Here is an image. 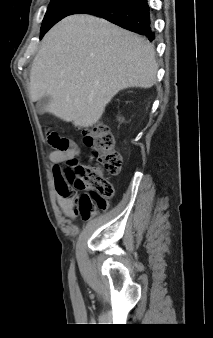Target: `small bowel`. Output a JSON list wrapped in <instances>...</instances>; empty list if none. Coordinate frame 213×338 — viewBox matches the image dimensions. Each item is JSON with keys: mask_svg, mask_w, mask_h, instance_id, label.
<instances>
[{"mask_svg": "<svg viewBox=\"0 0 213 338\" xmlns=\"http://www.w3.org/2000/svg\"><path fill=\"white\" fill-rule=\"evenodd\" d=\"M47 141L52 148L49 157L53 162L71 159L78 155V148L73 142L69 143V147L65 151L59 150L57 146L60 144L61 138L51 129L47 130ZM57 203L67 216L72 217L77 212L81 213V210L91 204V201L85 196L77 197L63 189L57 193Z\"/></svg>", "mask_w": 213, "mask_h": 338, "instance_id": "1", "label": "small bowel"}]
</instances>
